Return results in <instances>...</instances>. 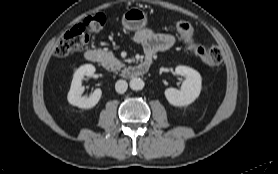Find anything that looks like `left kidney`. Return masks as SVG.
Returning <instances> with one entry per match:
<instances>
[{
  "label": "left kidney",
  "mask_w": 278,
  "mask_h": 174,
  "mask_svg": "<svg viewBox=\"0 0 278 174\" xmlns=\"http://www.w3.org/2000/svg\"><path fill=\"white\" fill-rule=\"evenodd\" d=\"M177 75L185 77L181 89L168 88L165 90V97L174 106H186L198 98L201 91L202 79L196 70L187 66H177Z\"/></svg>",
  "instance_id": "obj_1"
}]
</instances>
